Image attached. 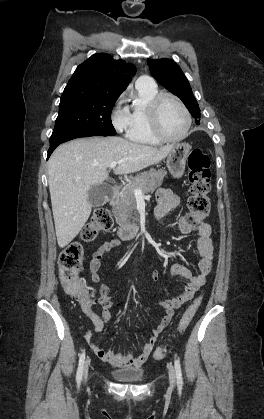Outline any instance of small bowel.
<instances>
[{
  "mask_svg": "<svg viewBox=\"0 0 264 419\" xmlns=\"http://www.w3.org/2000/svg\"><path fill=\"white\" fill-rule=\"evenodd\" d=\"M157 200L158 205L155 209V216L159 222L164 223L170 211L179 205L180 197L171 189L164 188L158 191ZM173 225L183 234H188L192 230L185 218L182 217L177 218L173 222ZM120 244L121 240L119 238H112L101 244L96 250L89 265L90 277L93 282L98 283L100 281L99 270L104 256ZM197 250L200 260L197 264L196 274H193L188 267L182 264H174L170 268L171 276L185 279L187 284L184 286L182 293L177 297L160 300L159 303L164 311V316L152 329L149 340L142 346L140 353L138 355H134L132 351L115 353L111 350L104 349L93 341V333L88 332L84 336L85 341L98 358L114 367H140L147 361L159 335L170 324L175 310L193 298L195 293L205 284L206 276L211 272L214 247L211 240V227L207 223L202 224L198 229ZM151 278L154 281H158L159 274L153 271ZM99 303L102 307L101 317L92 312L91 309L83 308L93 323L94 333H100L104 328V324L111 319L109 311L112 307L111 295L110 289L106 285L99 287Z\"/></svg>",
  "mask_w": 264,
  "mask_h": 419,
  "instance_id": "obj_1",
  "label": "small bowel"
}]
</instances>
